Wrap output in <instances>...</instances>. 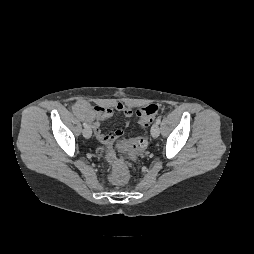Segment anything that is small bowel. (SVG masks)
Masks as SVG:
<instances>
[{"label": "small bowel", "mask_w": 254, "mask_h": 254, "mask_svg": "<svg viewBox=\"0 0 254 254\" xmlns=\"http://www.w3.org/2000/svg\"><path fill=\"white\" fill-rule=\"evenodd\" d=\"M75 113L83 120L90 122L94 130L95 136L98 140L106 145L113 144L117 139L123 135V130L118 129L110 133L102 131V124L113 116L114 110L109 107L91 106L85 100H78L73 107ZM115 110L122 113L125 117V124L128 126L133 115L132 110L123 103H118ZM108 158L114 161V155L111 151L108 152Z\"/></svg>", "instance_id": "obj_1"}]
</instances>
